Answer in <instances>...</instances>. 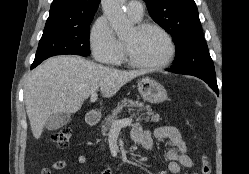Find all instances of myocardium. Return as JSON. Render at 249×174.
Masks as SVG:
<instances>
[{"instance_id":"1","label":"myocardium","mask_w":249,"mask_h":174,"mask_svg":"<svg viewBox=\"0 0 249 174\" xmlns=\"http://www.w3.org/2000/svg\"><path fill=\"white\" fill-rule=\"evenodd\" d=\"M135 28L139 33L145 32V31L150 30V29H154V30H157L160 33H162L170 45V53H169L168 57L160 63H155V64L142 63V62H139V61L135 60L134 58H132L127 53V51L124 47V60H125V62L128 63L132 67H135L138 69H145V70H157V69H162V68L167 67L174 60V58L176 56V51H177L176 44H175L174 39L171 36V34L161 25L156 24V23H151V22L140 23Z\"/></svg>"}]
</instances>
